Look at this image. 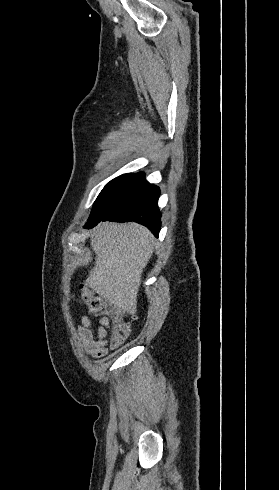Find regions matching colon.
Returning <instances> with one entry per match:
<instances>
[{
	"mask_svg": "<svg viewBox=\"0 0 279 490\" xmlns=\"http://www.w3.org/2000/svg\"><path fill=\"white\" fill-rule=\"evenodd\" d=\"M81 297L87 306L90 315L95 317H105L110 321L111 327L109 331L111 347L113 349H118L133 332L132 327L126 321L124 312L114 305L109 304L88 288H83L81 290Z\"/></svg>",
	"mask_w": 279,
	"mask_h": 490,
	"instance_id": "5ec220e1",
	"label": "colon"
}]
</instances>
